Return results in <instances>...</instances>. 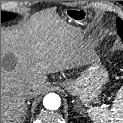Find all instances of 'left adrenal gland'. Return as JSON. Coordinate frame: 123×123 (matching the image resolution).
<instances>
[{"instance_id":"left-adrenal-gland-1","label":"left adrenal gland","mask_w":123,"mask_h":123,"mask_svg":"<svg viewBox=\"0 0 123 123\" xmlns=\"http://www.w3.org/2000/svg\"><path fill=\"white\" fill-rule=\"evenodd\" d=\"M81 112H85V110L84 109H82V111ZM84 115V114H83Z\"/></svg>"}]
</instances>
